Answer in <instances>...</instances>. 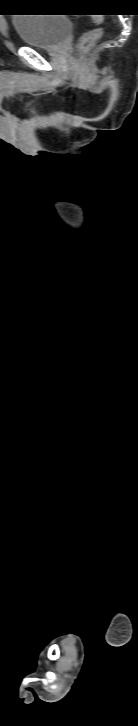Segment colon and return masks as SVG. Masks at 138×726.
<instances>
[{
    "instance_id": "1",
    "label": "colon",
    "mask_w": 138,
    "mask_h": 726,
    "mask_svg": "<svg viewBox=\"0 0 138 726\" xmlns=\"http://www.w3.org/2000/svg\"><path fill=\"white\" fill-rule=\"evenodd\" d=\"M102 23L103 20L101 18H94L92 25L82 34L78 41L77 50L79 53L85 52L102 35Z\"/></svg>"
}]
</instances>
